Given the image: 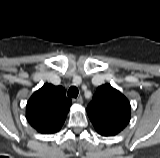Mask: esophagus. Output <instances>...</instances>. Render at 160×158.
<instances>
[{"instance_id":"34e87169","label":"esophagus","mask_w":160,"mask_h":158,"mask_svg":"<svg viewBox=\"0 0 160 158\" xmlns=\"http://www.w3.org/2000/svg\"><path fill=\"white\" fill-rule=\"evenodd\" d=\"M73 102L81 105L83 103V99L80 96V97H77V98L73 99Z\"/></svg>"}]
</instances>
